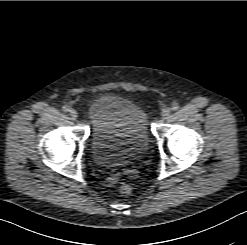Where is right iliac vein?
<instances>
[{"label": "right iliac vein", "mask_w": 247, "mask_h": 245, "mask_svg": "<svg viewBox=\"0 0 247 245\" xmlns=\"http://www.w3.org/2000/svg\"><path fill=\"white\" fill-rule=\"evenodd\" d=\"M69 114H70L71 118L74 119V120L77 119V117H78V113H77V111L75 109H71L69 111Z\"/></svg>", "instance_id": "right-iliac-vein-1"}]
</instances>
